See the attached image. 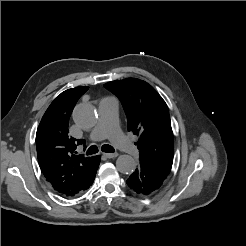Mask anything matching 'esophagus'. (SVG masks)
<instances>
[{
    "instance_id": "obj_1",
    "label": "esophagus",
    "mask_w": 246,
    "mask_h": 246,
    "mask_svg": "<svg viewBox=\"0 0 246 246\" xmlns=\"http://www.w3.org/2000/svg\"><path fill=\"white\" fill-rule=\"evenodd\" d=\"M103 156L108 158V159H111V158L117 157L118 153H104Z\"/></svg>"
}]
</instances>
